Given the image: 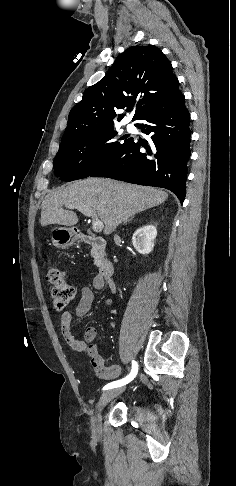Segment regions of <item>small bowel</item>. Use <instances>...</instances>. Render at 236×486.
Wrapping results in <instances>:
<instances>
[{"instance_id":"obj_1","label":"small bowel","mask_w":236,"mask_h":486,"mask_svg":"<svg viewBox=\"0 0 236 486\" xmlns=\"http://www.w3.org/2000/svg\"><path fill=\"white\" fill-rule=\"evenodd\" d=\"M105 284H108L111 291L114 292L116 290L112 281H106L99 275L94 277V288L102 289ZM93 300L94 294L92 290L87 286H81V296L75 309V315L79 318L84 317L90 310ZM71 324V312L66 311L62 313L60 317L61 332L69 347L75 352L87 354L99 378L111 380L118 377L121 373V367L119 365L106 366L103 358L98 353L97 346L93 344L97 335L96 328L94 326H88L85 329L84 338L79 339L74 335Z\"/></svg>"}]
</instances>
